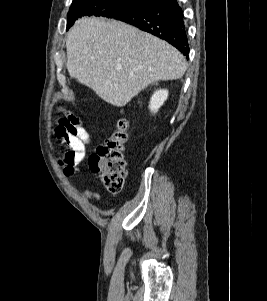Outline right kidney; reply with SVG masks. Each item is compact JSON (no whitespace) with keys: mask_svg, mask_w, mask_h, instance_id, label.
Wrapping results in <instances>:
<instances>
[{"mask_svg":"<svg viewBox=\"0 0 267 301\" xmlns=\"http://www.w3.org/2000/svg\"><path fill=\"white\" fill-rule=\"evenodd\" d=\"M168 98V91L167 90H158L156 91L150 100L149 108L151 112L156 113L159 108L163 105V103Z\"/></svg>","mask_w":267,"mask_h":301,"instance_id":"obj_1","label":"right kidney"}]
</instances>
